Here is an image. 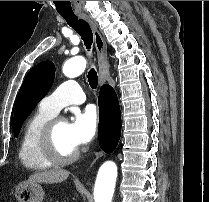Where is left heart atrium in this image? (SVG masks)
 I'll list each match as a JSON object with an SVG mask.
<instances>
[{
	"instance_id": "1",
	"label": "left heart atrium",
	"mask_w": 209,
	"mask_h": 202,
	"mask_svg": "<svg viewBox=\"0 0 209 202\" xmlns=\"http://www.w3.org/2000/svg\"><path fill=\"white\" fill-rule=\"evenodd\" d=\"M97 127L98 112L96 107L86 106L83 110H77L72 121L67 124L69 139L78 148L94 137Z\"/></svg>"
}]
</instances>
